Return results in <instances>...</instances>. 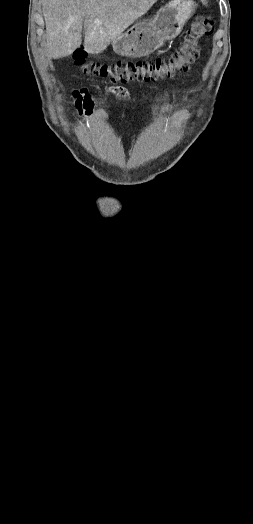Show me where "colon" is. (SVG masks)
<instances>
[{
  "label": "colon",
  "mask_w": 253,
  "mask_h": 524,
  "mask_svg": "<svg viewBox=\"0 0 253 524\" xmlns=\"http://www.w3.org/2000/svg\"><path fill=\"white\" fill-rule=\"evenodd\" d=\"M213 21L209 17L196 18L187 30L178 49L168 58H158L150 61L117 62L111 65H101L86 61L85 51L75 53L76 65L85 73L108 80L111 83L145 81L169 78L176 72L184 71L197 58L200 41L213 33ZM86 114L91 113V102L81 103Z\"/></svg>",
  "instance_id": "colon-1"
}]
</instances>
